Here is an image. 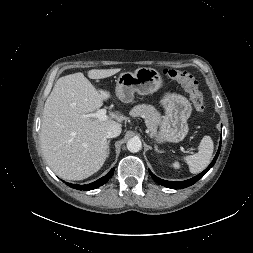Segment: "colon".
<instances>
[{
  "mask_svg": "<svg viewBox=\"0 0 253 253\" xmlns=\"http://www.w3.org/2000/svg\"><path fill=\"white\" fill-rule=\"evenodd\" d=\"M163 75L173 81L180 83L189 94L191 104L195 111L202 112L204 110V98L199 84L194 75L190 72L175 68H166L162 71Z\"/></svg>",
  "mask_w": 253,
  "mask_h": 253,
  "instance_id": "1",
  "label": "colon"
}]
</instances>
